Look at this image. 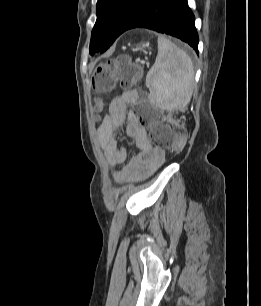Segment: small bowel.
Wrapping results in <instances>:
<instances>
[{
  "label": "small bowel",
  "mask_w": 261,
  "mask_h": 306,
  "mask_svg": "<svg viewBox=\"0 0 261 306\" xmlns=\"http://www.w3.org/2000/svg\"><path fill=\"white\" fill-rule=\"evenodd\" d=\"M137 99L136 91L123 92L112 100L108 108V116L98 130L97 140L103 149L108 163L124 164L116 176L121 181L133 182L139 179L147 170L161 165L165 160V152L154 147L148 137L147 130L139 123L137 116L128 110ZM125 124L126 134L131 138L138 153L127 160V148L118 146L116 132Z\"/></svg>",
  "instance_id": "obj_1"
}]
</instances>
